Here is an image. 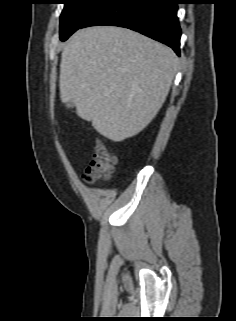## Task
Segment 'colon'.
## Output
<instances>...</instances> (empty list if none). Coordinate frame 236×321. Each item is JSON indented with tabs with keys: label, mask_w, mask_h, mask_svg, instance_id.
<instances>
[{
	"label": "colon",
	"mask_w": 236,
	"mask_h": 321,
	"mask_svg": "<svg viewBox=\"0 0 236 321\" xmlns=\"http://www.w3.org/2000/svg\"><path fill=\"white\" fill-rule=\"evenodd\" d=\"M116 157L112 151L101 141H96L95 152L90 164L86 168L83 179L87 184L107 180L116 164Z\"/></svg>",
	"instance_id": "obj_1"
}]
</instances>
